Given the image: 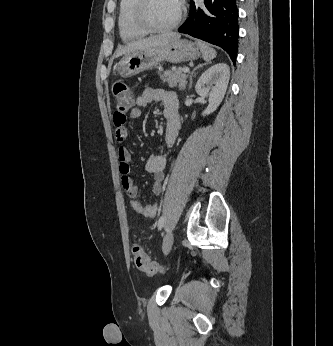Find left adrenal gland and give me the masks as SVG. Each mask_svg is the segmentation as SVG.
<instances>
[{
    "instance_id": "left-adrenal-gland-1",
    "label": "left adrenal gland",
    "mask_w": 333,
    "mask_h": 346,
    "mask_svg": "<svg viewBox=\"0 0 333 346\" xmlns=\"http://www.w3.org/2000/svg\"><path fill=\"white\" fill-rule=\"evenodd\" d=\"M204 65H206V63L199 64V65L196 66V67L192 70V72L190 73V77H189V80H190L189 89L192 87V77H193L194 72H195L197 69H199L200 67L204 66Z\"/></svg>"
}]
</instances>
